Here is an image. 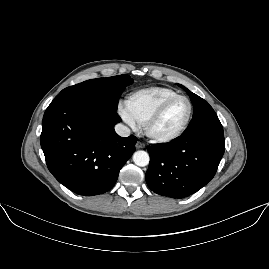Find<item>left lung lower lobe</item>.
Returning <instances> with one entry per match:
<instances>
[{
    "label": "left lung lower lobe",
    "mask_w": 269,
    "mask_h": 269,
    "mask_svg": "<svg viewBox=\"0 0 269 269\" xmlns=\"http://www.w3.org/2000/svg\"><path fill=\"white\" fill-rule=\"evenodd\" d=\"M222 126L182 134L168 143L148 146L150 164L145 178L157 194L182 199L214 177L224 154Z\"/></svg>",
    "instance_id": "left-lung-lower-lobe-1"
}]
</instances>
